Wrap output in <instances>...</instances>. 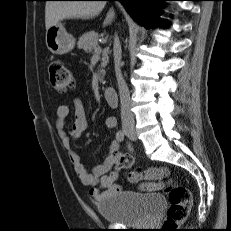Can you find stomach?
I'll return each instance as SVG.
<instances>
[{"label":"stomach","mask_w":231,"mask_h":231,"mask_svg":"<svg viewBox=\"0 0 231 231\" xmlns=\"http://www.w3.org/2000/svg\"><path fill=\"white\" fill-rule=\"evenodd\" d=\"M46 45L53 54H66L75 46L74 37L69 34L60 22L46 31Z\"/></svg>","instance_id":"0dacf381"}]
</instances>
